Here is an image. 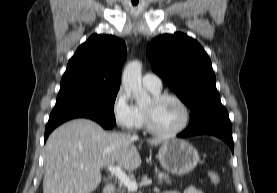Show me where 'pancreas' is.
<instances>
[{"instance_id": "1", "label": "pancreas", "mask_w": 277, "mask_h": 193, "mask_svg": "<svg viewBox=\"0 0 277 193\" xmlns=\"http://www.w3.org/2000/svg\"><path fill=\"white\" fill-rule=\"evenodd\" d=\"M157 178H158L159 184H162V183H166V184L171 183L170 177H169V175L166 172H160V171H158ZM117 193H127L126 186H124L122 183H120L119 187L117 189Z\"/></svg>"}]
</instances>
